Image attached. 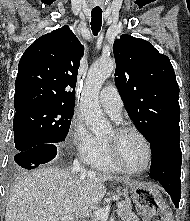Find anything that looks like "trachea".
<instances>
[{"mask_svg": "<svg viewBox=\"0 0 190 221\" xmlns=\"http://www.w3.org/2000/svg\"><path fill=\"white\" fill-rule=\"evenodd\" d=\"M91 30L93 35H98L102 25V10H92L91 12Z\"/></svg>", "mask_w": 190, "mask_h": 221, "instance_id": "obj_1", "label": "trachea"}]
</instances>
